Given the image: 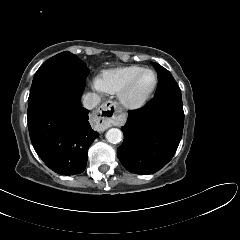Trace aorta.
I'll use <instances>...</instances> for the list:
<instances>
[{
  "label": "aorta",
  "instance_id": "aorta-1",
  "mask_svg": "<svg viewBox=\"0 0 240 240\" xmlns=\"http://www.w3.org/2000/svg\"><path fill=\"white\" fill-rule=\"evenodd\" d=\"M106 139L112 144H117L122 140V132L117 128H111L106 133Z\"/></svg>",
  "mask_w": 240,
  "mask_h": 240
}]
</instances>
